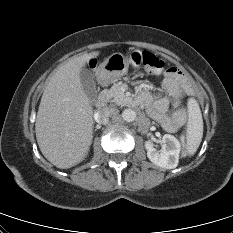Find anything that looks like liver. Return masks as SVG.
I'll return each mask as SVG.
<instances>
[{"instance_id": "1", "label": "liver", "mask_w": 233, "mask_h": 233, "mask_svg": "<svg viewBox=\"0 0 233 233\" xmlns=\"http://www.w3.org/2000/svg\"><path fill=\"white\" fill-rule=\"evenodd\" d=\"M100 54L71 58L50 79L39 105L35 132L44 157L61 169L82 162L93 138V108L80 79L81 69Z\"/></svg>"}]
</instances>
